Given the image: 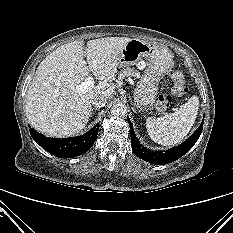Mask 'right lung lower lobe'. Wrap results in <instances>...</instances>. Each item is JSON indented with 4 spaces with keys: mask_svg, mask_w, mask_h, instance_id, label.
Segmentation results:
<instances>
[{
    "mask_svg": "<svg viewBox=\"0 0 233 233\" xmlns=\"http://www.w3.org/2000/svg\"><path fill=\"white\" fill-rule=\"evenodd\" d=\"M99 129L97 123L87 133L70 138H50L30 129L32 138L46 151L59 158H72L87 152L94 144Z\"/></svg>",
    "mask_w": 233,
    "mask_h": 233,
    "instance_id": "obj_1",
    "label": "right lung lower lobe"
}]
</instances>
